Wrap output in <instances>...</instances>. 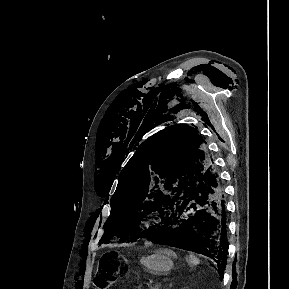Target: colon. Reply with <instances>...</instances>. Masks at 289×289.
<instances>
[{
  "label": "colon",
  "mask_w": 289,
  "mask_h": 289,
  "mask_svg": "<svg viewBox=\"0 0 289 289\" xmlns=\"http://www.w3.org/2000/svg\"><path fill=\"white\" fill-rule=\"evenodd\" d=\"M125 276V268L119 263L117 254L106 252L100 260L94 285L98 289H107L114 284L122 282Z\"/></svg>",
  "instance_id": "obj_1"
}]
</instances>
